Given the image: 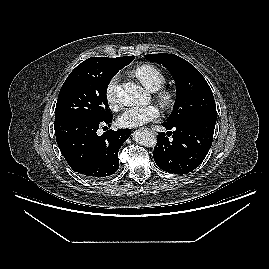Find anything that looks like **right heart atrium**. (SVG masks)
<instances>
[{
	"mask_svg": "<svg viewBox=\"0 0 269 269\" xmlns=\"http://www.w3.org/2000/svg\"><path fill=\"white\" fill-rule=\"evenodd\" d=\"M119 82V75H114L105 87V99L111 109H116L119 106L116 89Z\"/></svg>",
	"mask_w": 269,
	"mask_h": 269,
	"instance_id": "obj_1",
	"label": "right heart atrium"
}]
</instances>
